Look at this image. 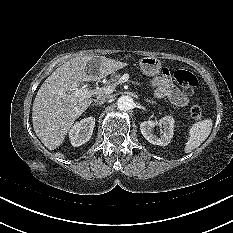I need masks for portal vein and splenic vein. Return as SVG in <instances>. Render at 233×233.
<instances>
[{
    "mask_svg": "<svg viewBox=\"0 0 233 233\" xmlns=\"http://www.w3.org/2000/svg\"><path fill=\"white\" fill-rule=\"evenodd\" d=\"M125 80L123 78H121L119 81H118V84L119 83H122L124 82ZM116 86L114 85H107V86H104V87H97L96 89H93V90H89L87 88V86H84L82 88H76L74 89L73 91V94L76 96V97H79V98H87V97H91L93 95H101V94H111L113 93L114 89H115Z\"/></svg>",
    "mask_w": 233,
    "mask_h": 233,
    "instance_id": "portal-vein-and-splenic-vein-1",
    "label": "portal vein and splenic vein"
}]
</instances>
